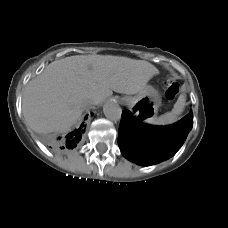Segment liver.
I'll list each match as a JSON object with an SVG mask.
<instances>
[{"label": "liver", "instance_id": "liver-1", "mask_svg": "<svg viewBox=\"0 0 228 228\" xmlns=\"http://www.w3.org/2000/svg\"><path fill=\"white\" fill-rule=\"evenodd\" d=\"M157 73L147 61L111 55H75L54 61L26 86L25 123L37 133L65 130L81 116L85 100L98 105L112 91L137 94Z\"/></svg>", "mask_w": 228, "mask_h": 228}]
</instances>
